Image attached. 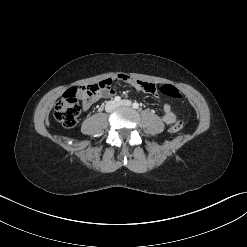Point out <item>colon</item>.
Returning a JSON list of instances; mask_svg holds the SVG:
<instances>
[{"label": "colon", "mask_w": 247, "mask_h": 247, "mask_svg": "<svg viewBox=\"0 0 247 247\" xmlns=\"http://www.w3.org/2000/svg\"><path fill=\"white\" fill-rule=\"evenodd\" d=\"M112 86V81L106 79L94 84L87 85L81 89L72 88L66 91L62 98L54 107V117L65 128H72L77 123L80 113V106L78 103L79 93L82 92L89 101H96L98 97ZM160 92L165 96L173 99H181L182 95L179 90L173 85H163L160 87ZM183 124L181 121L175 122L170 130L173 133H178L182 130Z\"/></svg>", "instance_id": "obj_1"}]
</instances>
